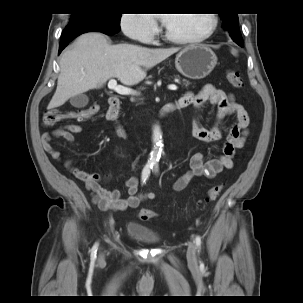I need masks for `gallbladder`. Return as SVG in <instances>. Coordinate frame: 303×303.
I'll return each mask as SVG.
<instances>
[{
	"mask_svg": "<svg viewBox=\"0 0 303 303\" xmlns=\"http://www.w3.org/2000/svg\"><path fill=\"white\" fill-rule=\"evenodd\" d=\"M89 102V98L86 94L82 93L71 97L70 104L75 108H84Z\"/></svg>",
	"mask_w": 303,
	"mask_h": 303,
	"instance_id": "gallbladder-1",
	"label": "gallbladder"
}]
</instances>
